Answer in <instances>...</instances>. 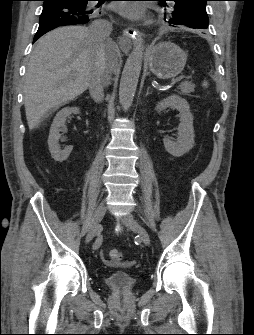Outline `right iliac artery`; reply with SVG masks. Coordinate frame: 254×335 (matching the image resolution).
I'll use <instances>...</instances> for the list:
<instances>
[{
    "label": "right iliac artery",
    "mask_w": 254,
    "mask_h": 335,
    "mask_svg": "<svg viewBox=\"0 0 254 335\" xmlns=\"http://www.w3.org/2000/svg\"><path fill=\"white\" fill-rule=\"evenodd\" d=\"M102 244V236L98 235V237L96 238L94 244H93V249L97 250Z\"/></svg>",
    "instance_id": "right-iliac-artery-1"
}]
</instances>
